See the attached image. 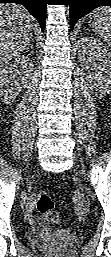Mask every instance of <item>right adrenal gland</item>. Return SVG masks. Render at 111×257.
<instances>
[{"instance_id":"obj_1","label":"right adrenal gland","mask_w":111,"mask_h":257,"mask_svg":"<svg viewBox=\"0 0 111 257\" xmlns=\"http://www.w3.org/2000/svg\"><path fill=\"white\" fill-rule=\"evenodd\" d=\"M29 48L34 49V40H33V37L30 38V41H29L28 45L26 46L25 50H28Z\"/></svg>"}]
</instances>
